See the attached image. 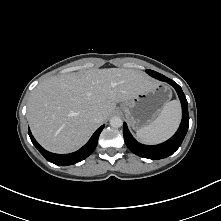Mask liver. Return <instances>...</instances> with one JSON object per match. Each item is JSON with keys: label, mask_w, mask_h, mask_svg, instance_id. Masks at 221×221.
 <instances>
[{"label": "liver", "mask_w": 221, "mask_h": 221, "mask_svg": "<svg viewBox=\"0 0 221 221\" xmlns=\"http://www.w3.org/2000/svg\"><path fill=\"white\" fill-rule=\"evenodd\" d=\"M157 83L134 69H90L41 82L30 94L27 120L36 140L48 151L79 149L116 108ZM100 114L101 122L94 121Z\"/></svg>", "instance_id": "liver-1"}]
</instances>
